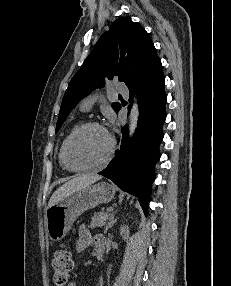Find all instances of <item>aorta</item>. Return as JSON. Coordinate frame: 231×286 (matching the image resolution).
<instances>
[{
    "label": "aorta",
    "mask_w": 231,
    "mask_h": 286,
    "mask_svg": "<svg viewBox=\"0 0 231 286\" xmlns=\"http://www.w3.org/2000/svg\"><path fill=\"white\" fill-rule=\"evenodd\" d=\"M138 117H139V108L136 101H134L133 106L130 111L129 115V135L130 137L133 136L135 133V130L137 128L138 123Z\"/></svg>",
    "instance_id": "aorta-1"
}]
</instances>
